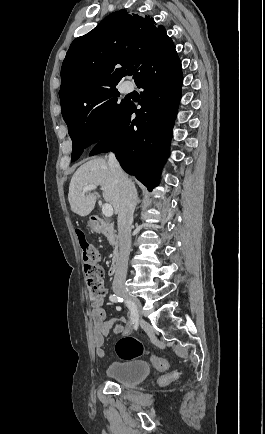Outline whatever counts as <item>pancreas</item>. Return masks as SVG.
<instances>
[{
    "instance_id": "cf45deb5",
    "label": "pancreas",
    "mask_w": 265,
    "mask_h": 434,
    "mask_svg": "<svg viewBox=\"0 0 265 434\" xmlns=\"http://www.w3.org/2000/svg\"><path fill=\"white\" fill-rule=\"evenodd\" d=\"M110 246H114L115 250H116V246H117V242L115 240V238H117V236H112V234H105Z\"/></svg>"
}]
</instances>
